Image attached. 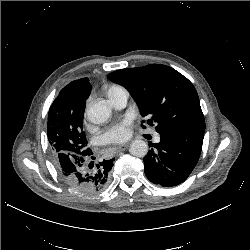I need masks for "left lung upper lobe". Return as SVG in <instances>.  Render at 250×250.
<instances>
[{
    "label": "left lung upper lobe",
    "mask_w": 250,
    "mask_h": 250,
    "mask_svg": "<svg viewBox=\"0 0 250 250\" xmlns=\"http://www.w3.org/2000/svg\"><path fill=\"white\" fill-rule=\"evenodd\" d=\"M108 78L130 92L141 115L148 118L147 124L155 123L158 133L205 131L198 94L193 84L175 69L151 64L117 70Z\"/></svg>",
    "instance_id": "5c2ea615"
}]
</instances>
